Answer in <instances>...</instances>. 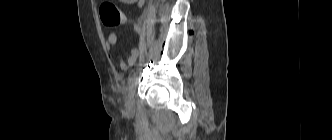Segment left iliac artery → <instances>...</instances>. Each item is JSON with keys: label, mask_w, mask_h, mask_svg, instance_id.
<instances>
[{"label": "left iliac artery", "mask_w": 332, "mask_h": 140, "mask_svg": "<svg viewBox=\"0 0 332 140\" xmlns=\"http://www.w3.org/2000/svg\"><path fill=\"white\" fill-rule=\"evenodd\" d=\"M136 72L134 71L130 76H129V78H128V85H129V88L131 87V85L133 84V81H134V79H135V77H136Z\"/></svg>", "instance_id": "left-iliac-artery-1"}]
</instances>
